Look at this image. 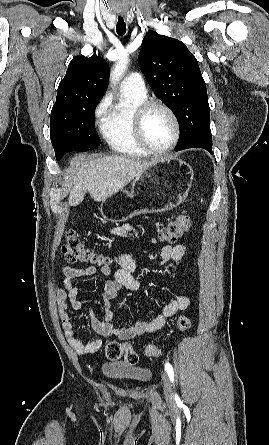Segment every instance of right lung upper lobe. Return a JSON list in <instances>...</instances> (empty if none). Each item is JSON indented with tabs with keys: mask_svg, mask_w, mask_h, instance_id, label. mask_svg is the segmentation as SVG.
<instances>
[{
	"mask_svg": "<svg viewBox=\"0 0 269 445\" xmlns=\"http://www.w3.org/2000/svg\"><path fill=\"white\" fill-rule=\"evenodd\" d=\"M109 67L102 57H75L60 82L56 102L101 99L108 87Z\"/></svg>",
	"mask_w": 269,
	"mask_h": 445,
	"instance_id": "1",
	"label": "right lung upper lobe"
}]
</instances>
